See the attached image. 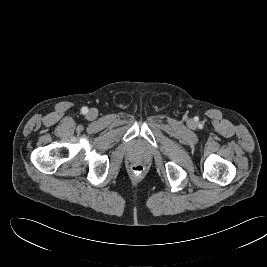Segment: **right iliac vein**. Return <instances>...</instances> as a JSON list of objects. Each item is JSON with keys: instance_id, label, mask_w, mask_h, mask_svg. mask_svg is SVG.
Returning a JSON list of instances; mask_svg holds the SVG:
<instances>
[{"instance_id": "1", "label": "right iliac vein", "mask_w": 267, "mask_h": 267, "mask_svg": "<svg viewBox=\"0 0 267 267\" xmlns=\"http://www.w3.org/2000/svg\"><path fill=\"white\" fill-rule=\"evenodd\" d=\"M88 119L93 120L97 117V111L95 109H90L87 114Z\"/></svg>"}]
</instances>
